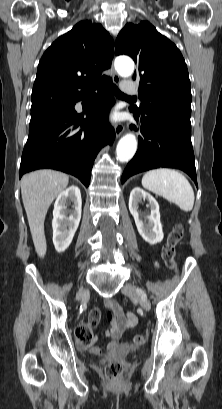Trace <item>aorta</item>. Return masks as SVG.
<instances>
[{
  "label": "aorta",
  "instance_id": "762f6f07",
  "mask_svg": "<svg viewBox=\"0 0 222 409\" xmlns=\"http://www.w3.org/2000/svg\"><path fill=\"white\" fill-rule=\"evenodd\" d=\"M115 69L122 77H128L134 72V62L128 57H118L115 60ZM137 150V140L133 134H126L118 142L116 158L119 162H128Z\"/></svg>",
  "mask_w": 222,
  "mask_h": 409
}]
</instances>
